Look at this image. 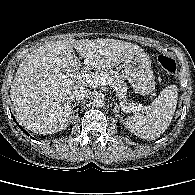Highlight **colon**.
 Segmentation results:
<instances>
[{"label":"colon","mask_w":195,"mask_h":195,"mask_svg":"<svg viewBox=\"0 0 195 195\" xmlns=\"http://www.w3.org/2000/svg\"><path fill=\"white\" fill-rule=\"evenodd\" d=\"M158 66L168 75H173L176 72V61L171 56L160 55L157 58Z\"/></svg>","instance_id":"obj_1"}]
</instances>
